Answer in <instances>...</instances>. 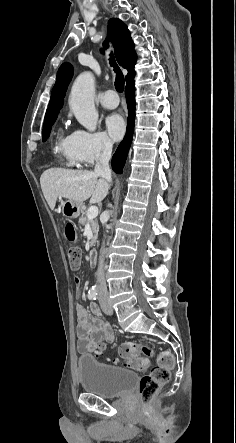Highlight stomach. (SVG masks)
<instances>
[{
	"label": "stomach",
	"instance_id": "obj_1",
	"mask_svg": "<svg viewBox=\"0 0 236 443\" xmlns=\"http://www.w3.org/2000/svg\"><path fill=\"white\" fill-rule=\"evenodd\" d=\"M82 207V203L66 200L61 205V211L64 217L72 219L77 218L80 215Z\"/></svg>",
	"mask_w": 236,
	"mask_h": 443
}]
</instances>
